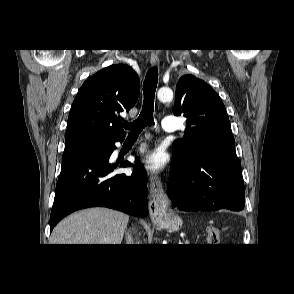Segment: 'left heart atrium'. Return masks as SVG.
I'll return each instance as SVG.
<instances>
[{"instance_id": "39dd6f15", "label": "left heart atrium", "mask_w": 294, "mask_h": 294, "mask_svg": "<svg viewBox=\"0 0 294 294\" xmlns=\"http://www.w3.org/2000/svg\"><path fill=\"white\" fill-rule=\"evenodd\" d=\"M142 163L144 168L152 172L160 171L165 164L164 155L161 151H154L148 154Z\"/></svg>"}]
</instances>
